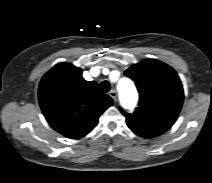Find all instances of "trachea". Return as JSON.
<instances>
[{"label": "trachea", "mask_w": 212, "mask_h": 183, "mask_svg": "<svg viewBox=\"0 0 212 183\" xmlns=\"http://www.w3.org/2000/svg\"><path fill=\"white\" fill-rule=\"evenodd\" d=\"M100 87L104 92H108L111 88L110 83L108 81H102Z\"/></svg>", "instance_id": "1"}]
</instances>
